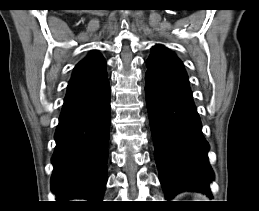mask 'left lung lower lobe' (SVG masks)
I'll return each mask as SVG.
<instances>
[{"label": "left lung lower lobe", "instance_id": "left-lung-lower-lobe-1", "mask_svg": "<svg viewBox=\"0 0 259 211\" xmlns=\"http://www.w3.org/2000/svg\"><path fill=\"white\" fill-rule=\"evenodd\" d=\"M145 92L155 160L166 198L185 190L212 197L214 174L208 163L209 145L190 88L168 86L145 77Z\"/></svg>", "mask_w": 259, "mask_h": 211}]
</instances>
